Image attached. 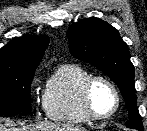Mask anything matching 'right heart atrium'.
<instances>
[{"instance_id":"d8ad5b80","label":"right heart atrium","mask_w":147,"mask_h":131,"mask_svg":"<svg viewBox=\"0 0 147 131\" xmlns=\"http://www.w3.org/2000/svg\"><path fill=\"white\" fill-rule=\"evenodd\" d=\"M37 79L34 78L33 81H32V85H34L36 83Z\"/></svg>"}]
</instances>
